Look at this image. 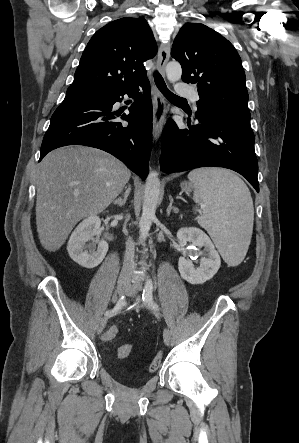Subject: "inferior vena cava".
<instances>
[{
  "instance_id": "inferior-vena-cava-1",
  "label": "inferior vena cava",
  "mask_w": 299,
  "mask_h": 443,
  "mask_svg": "<svg viewBox=\"0 0 299 443\" xmlns=\"http://www.w3.org/2000/svg\"><path fill=\"white\" fill-rule=\"evenodd\" d=\"M135 268L134 262V242L131 238L126 241V251L124 256L123 267L121 271V277L130 275Z\"/></svg>"
}]
</instances>
